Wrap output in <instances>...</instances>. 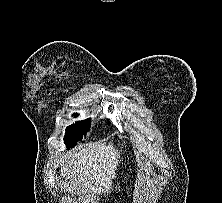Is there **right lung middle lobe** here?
I'll list each match as a JSON object with an SVG mask.
<instances>
[{"label":"right lung middle lobe","mask_w":222,"mask_h":203,"mask_svg":"<svg viewBox=\"0 0 222 203\" xmlns=\"http://www.w3.org/2000/svg\"><path fill=\"white\" fill-rule=\"evenodd\" d=\"M77 114L74 113V117H76ZM91 125V118H88L86 120L76 122L75 124L70 125L66 128V134L64 137V143L67 147H73L77 144L78 141L82 140L83 134H85L89 129Z\"/></svg>","instance_id":"obj_1"}]
</instances>
